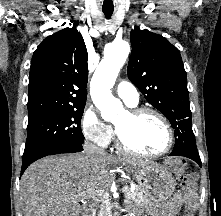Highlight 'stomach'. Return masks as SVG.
<instances>
[{
	"label": "stomach",
	"mask_w": 221,
	"mask_h": 216,
	"mask_svg": "<svg viewBox=\"0 0 221 216\" xmlns=\"http://www.w3.org/2000/svg\"><path fill=\"white\" fill-rule=\"evenodd\" d=\"M137 180L142 194L150 202L159 203L171 197L175 190V180L164 167L155 163L125 168Z\"/></svg>",
	"instance_id": "stomach-1"
}]
</instances>
